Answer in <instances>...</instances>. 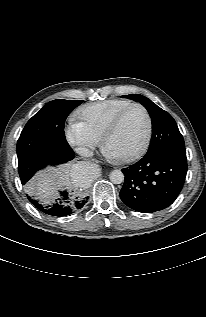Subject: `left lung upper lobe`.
I'll return each mask as SVG.
<instances>
[{
    "label": "left lung upper lobe",
    "instance_id": "obj_1",
    "mask_svg": "<svg viewBox=\"0 0 206 317\" xmlns=\"http://www.w3.org/2000/svg\"><path fill=\"white\" fill-rule=\"evenodd\" d=\"M135 101L140 102L149 112L152 119V139L146 154H152L161 151L185 152L183 137L177 127L173 117L147 97L134 94L124 95Z\"/></svg>",
    "mask_w": 206,
    "mask_h": 317
}]
</instances>
